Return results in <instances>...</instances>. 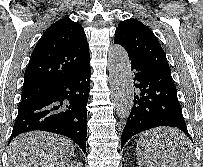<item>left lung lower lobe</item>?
I'll return each instance as SVG.
<instances>
[{"label": "left lung lower lobe", "instance_id": "0a47b994", "mask_svg": "<svg viewBox=\"0 0 203 167\" xmlns=\"http://www.w3.org/2000/svg\"><path fill=\"white\" fill-rule=\"evenodd\" d=\"M129 60L138 92L134 93V105L122 132L121 148L133 135L158 126L176 127L192 141L171 73L154 68L137 58L129 57ZM185 148L187 146L175 143L171 146L179 154L184 153Z\"/></svg>", "mask_w": 203, "mask_h": 167}]
</instances>
